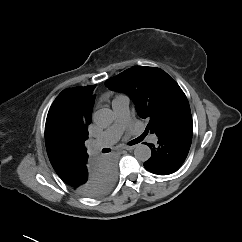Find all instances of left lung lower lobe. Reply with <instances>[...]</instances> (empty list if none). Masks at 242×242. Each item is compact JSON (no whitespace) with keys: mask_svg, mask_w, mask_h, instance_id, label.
Here are the masks:
<instances>
[{"mask_svg":"<svg viewBox=\"0 0 242 242\" xmlns=\"http://www.w3.org/2000/svg\"><path fill=\"white\" fill-rule=\"evenodd\" d=\"M193 121L185 120L158 135V146L148 144L151 158L144 167L155 174L165 175L177 171L188 155L192 141Z\"/></svg>","mask_w":242,"mask_h":242,"instance_id":"0a47b994","label":"left lung lower lobe"}]
</instances>
